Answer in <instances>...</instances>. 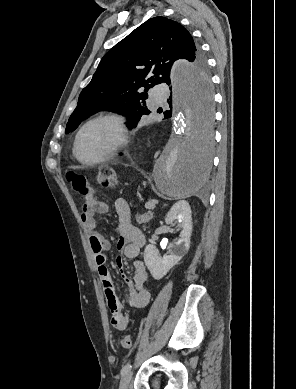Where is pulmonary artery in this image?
<instances>
[{"instance_id": "1", "label": "pulmonary artery", "mask_w": 296, "mask_h": 389, "mask_svg": "<svg viewBox=\"0 0 296 389\" xmlns=\"http://www.w3.org/2000/svg\"><path fill=\"white\" fill-rule=\"evenodd\" d=\"M151 97L155 106L163 104L166 100L165 89L161 86H155L151 90Z\"/></svg>"}]
</instances>
